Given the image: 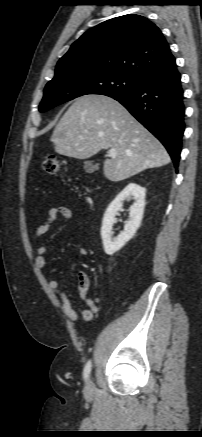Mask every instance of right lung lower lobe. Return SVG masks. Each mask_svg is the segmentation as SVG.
Returning <instances> with one entry per match:
<instances>
[{
	"label": "right lung lower lobe",
	"instance_id": "right-lung-lower-lobe-1",
	"mask_svg": "<svg viewBox=\"0 0 202 437\" xmlns=\"http://www.w3.org/2000/svg\"><path fill=\"white\" fill-rule=\"evenodd\" d=\"M110 97L161 141L177 167L185 128V106L175 60L143 77L135 89Z\"/></svg>",
	"mask_w": 202,
	"mask_h": 437
}]
</instances>
